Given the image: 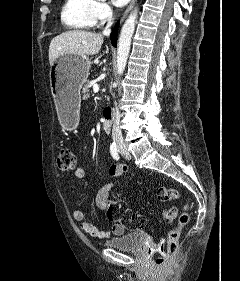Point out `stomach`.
<instances>
[{
    "instance_id": "1",
    "label": "stomach",
    "mask_w": 240,
    "mask_h": 281,
    "mask_svg": "<svg viewBox=\"0 0 240 281\" xmlns=\"http://www.w3.org/2000/svg\"><path fill=\"white\" fill-rule=\"evenodd\" d=\"M91 60L87 56H60L50 67V88L59 120L65 129L79 123L80 90L89 75Z\"/></svg>"
}]
</instances>
